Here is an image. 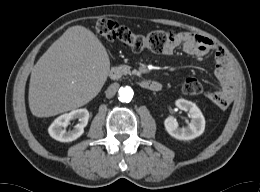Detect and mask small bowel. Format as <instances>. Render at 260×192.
<instances>
[{
  "label": "small bowel",
  "mask_w": 260,
  "mask_h": 192,
  "mask_svg": "<svg viewBox=\"0 0 260 192\" xmlns=\"http://www.w3.org/2000/svg\"><path fill=\"white\" fill-rule=\"evenodd\" d=\"M178 47H182L185 53L195 57H204L211 52L214 54L216 76L220 83V88L218 91L206 92V96L221 108L229 106L237 93V82L222 48L207 37L193 32H181L177 34L175 42L162 53L171 55Z\"/></svg>",
  "instance_id": "small-bowel-1"
}]
</instances>
